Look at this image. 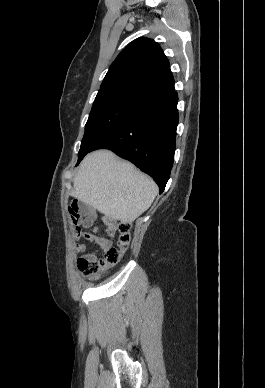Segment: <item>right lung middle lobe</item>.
I'll return each instance as SVG.
<instances>
[{"label": "right lung middle lobe", "mask_w": 265, "mask_h": 388, "mask_svg": "<svg viewBox=\"0 0 265 388\" xmlns=\"http://www.w3.org/2000/svg\"><path fill=\"white\" fill-rule=\"evenodd\" d=\"M145 98L125 92H98L85 126L78 161L104 136L133 115Z\"/></svg>", "instance_id": "dd1d6c3e"}]
</instances>
